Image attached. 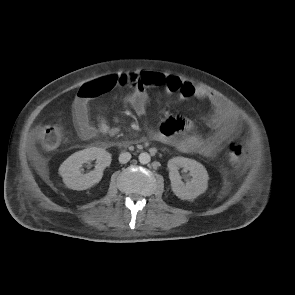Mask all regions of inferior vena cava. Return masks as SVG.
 Listing matches in <instances>:
<instances>
[{
  "mask_svg": "<svg viewBox=\"0 0 295 295\" xmlns=\"http://www.w3.org/2000/svg\"><path fill=\"white\" fill-rule=\"evenodd\" d=\"M131 159V154L129 152H123L119 155L120 163H127Z\"/></svg>",
  "mask_w": 295,
  "mask_h": 295,
  "instance_id": "obj_1",
  "label": "inferior vena cava"
}]
</instances>
